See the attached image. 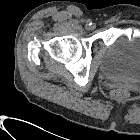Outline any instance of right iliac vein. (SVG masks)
I'll list each match as a JSON object with an SVG mask.
<instances>
[{
	"mask_svg": "<svg viewBox=\"0 0 140 140\" xmlns=\"http://www.w3.org/2000/svg\"><path fill=\"white\" fill-rule=\"evenodd\" d=\"M95 27H96L95 24L88 25V28L91 29V30H93Z\"/></svg>",
	"mask_w": 140,
	"mask_h": 140,
	"instance_id": "63e3f726",
	"label": "right iliac vein"
}]
</instances>
